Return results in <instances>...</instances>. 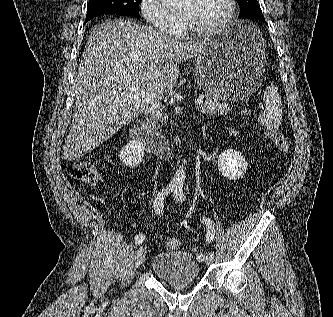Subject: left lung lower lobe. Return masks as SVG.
<instances>
[{
    "mask_svg": "<svg viewBox=\"0 0 333 317\" xmlns=\"http://www.w3.org/2000/svg\"><path fill=\"white\" fill-rule=\"evenodd\" d=\"M257 20H261L262 22L266 23L264 17L257 18Z\"/></svg>",
    "mask_w": 333,
    "mask_h": 317,
    "instance_id": "1",
    "label": "left lung lower lobe"
}]
</instances>
